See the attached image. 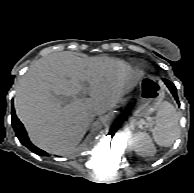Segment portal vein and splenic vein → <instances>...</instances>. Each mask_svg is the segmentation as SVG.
Masks as SVG:
<instances>
[{"mask_svg": "<svg viewBox=\"0 0 194 193\" xmlns=\"http://www.w3.org/2000/svg\"><path fill=\"white\" fill-rule=\"evenodd\" d=\"M152 119L150 118L149 119V122H146L145 120L143 119H140L139 122H137L140 126L142 125H146V126H150L152 123H151Z\"/></svg>", "mask_w": 194, "mask_h": 193, "instance_id": "portal-vein-and-splenic-vein-1", "label": "portal vein and splenic vein"}]
</instances>
